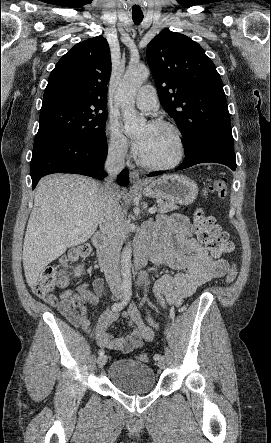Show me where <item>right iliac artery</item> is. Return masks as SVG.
Instances as JSON below:
<instances>
[{"label":"right iliac artery","instance_id":"1","mask_svg":"<svg viewBox=\"0 0 271 443\" xmlns=\"http://www.w3.org/2000/svg\"><path fill=\"white\" fill-rule=\"evenodd\" d=\"M131 296H132L131 286H125L124 287V297H123V299L120 302L114 303L112 305V310L115 311V312L122 310L129 303V301L131 299ZM98 354L100 356L104 355V350L100 349L98 351Z\"/></svg>","mask_w":271,"mask_h":443}]
</instances>
